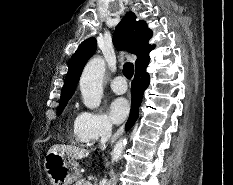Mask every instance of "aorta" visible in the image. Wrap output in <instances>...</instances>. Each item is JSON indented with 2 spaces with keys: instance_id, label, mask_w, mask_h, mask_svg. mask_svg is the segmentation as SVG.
I'll return each instance as SVG.
<instances>
[{
  "instance_id": "obj_1",
  "label": "aorta",
  "mask_w": 233,
  "mask_h": 185,
  "mask_svg": "<svg viewBox=\"0 0 233 185\" xmlns=\"http://www.w3.org/2000/svg\"><path fill=\"white\" fill-rule=\"evenodd\" d=\"M105 61L101 57L90 60L85 66L80 79V90L83 103L87 108L95 109L99 107L103 95V77L105 73ZM127 145V140L120 139L112 151V161L121 159L122 153Z\"/></svg>"
}]
</instances>
